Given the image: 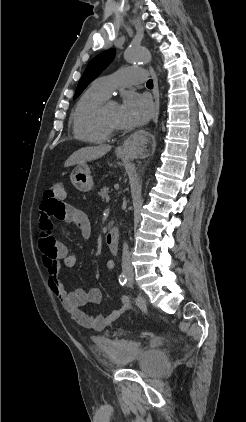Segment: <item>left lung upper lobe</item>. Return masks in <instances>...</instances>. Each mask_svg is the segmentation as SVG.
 <instances>
[{"instance_id":"obj_1","label":"left lung upper lobe","mask_w":246,"mask_h":422,"mask_svg":"<svg viewBox=\"0 0 246 422\" xmlns=\"http://www.w3.org/2000/svg\"><path fill=\"white\" fill-rule=\"evenodd\" d=\"M115 49H109L101 52L95 58H93L87 65L83 76L81 77L74 99H76L82 91L96 78L100 73L109 65L114 59Z\"/></svg>"}]
</instances>
